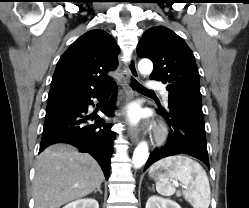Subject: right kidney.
<instances>
[{"mask_svg":"<svg viewBox=\"0 0 249 208\" xmlns=\"http://www.w3.org/2000/svg\"><path fill=\"white\" fill-rule=\"evenodd\" d=\"M63 208H99V204L95 199H79L67 204Z\"/></svg>","mask_w":249,"mask_h":208,"instance_id":"ca27d5eb","label":"right kidney"}]
</instances>
